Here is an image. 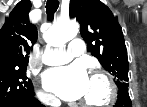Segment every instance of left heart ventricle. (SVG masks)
Segmentation results:
<instances>
[{
  "mask_svg": "<svg viewBox=\"0 0 147 107\" xmlns=\"http://www.w3.org/2000/svg\"><path fill=\"white\" fill-rule=\"evenodd\" d=\"M106 97V87L99 79H90L89 85L82 100L99 102Z\"/></svg>",
  "mask_w": 147,
  "mask_h": 107,
  "instance_id": "1",
  "label": "left heart ventricle"
}]
</instances>
